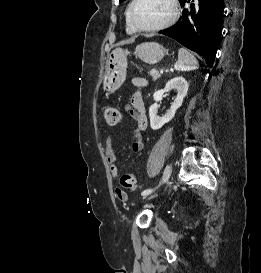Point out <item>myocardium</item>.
I'll return each mask as SVG.
<instances>
[{"label":"myocardium","instance_id":"myocardium-1","mask_svg":"<svg viewBox=\"0 0 261 273\" xmlns=\"http://www.w3.org/2000/svg\"><path fill=\"white\" fill-rule=\"evenodd\" d=\"M138 0H132L128 11H127V20L129 25L131 26V28L135 31V32H157V31H161L164 30L166 28H169L170 26H172L178 19L179 16V4L177 0H169V3L171 5V14L170 17L163 23L152 26V27H139L137 26L134 22H133V18H132V13H133V9L136 5Z\"/></svg>","mask_w":261,"mask_h":273}]
</instances>
